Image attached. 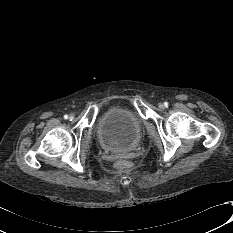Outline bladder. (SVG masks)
Listing matches in <instances>:
<instances>
[{
	"label": "bladder",
	"mask_w": 233,
	"mask_h": 233,
	"mask_svg": "<svg viewBox=\"0 0 233 233\" xmlns=\"http://www.w3.org/2000/svg\"><path fill=\"white\" fill-rule=\"evenodd\" d=\"M140 117L124 106H113L103 112L95 125V133L102 146L117 152L133 150L142 136Z\"/></svg>",
	"instance_id": "bladder-1"
}]
</instances>
